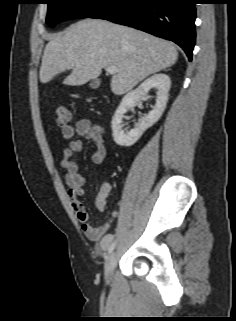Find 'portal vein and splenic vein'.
Segmentation results:
<instances>
[{"instance_id":"18ae733b","label":"portal vein and splenic vein","mask_w":236,"mask_h":321,"mask_svg":"<svg viewBox=\"0 0 236 321\" xmlns=\"http://www.w3.org/2000/svg\"><path fill=\"white\" fill-rule=\"evenodd\" d=\"M106 71H107V73L114 75L117 73L118 69L116 66H109V67H107Z\"/></svg>"}]
</instances>
